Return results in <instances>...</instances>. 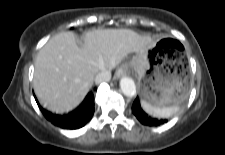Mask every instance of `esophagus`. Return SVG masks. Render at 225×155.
Here are the masks:
<instances>
[{"label":"esophagus","mask_w":225,"mask_h":155,"mask_svg":"<svg viewBox=\"0 0 225 155\" xmlns=\"http://www.w3.org/2000/svg\"><path fill=\"white\" fill-rule=\"evenodd\" d=\"M127 72H128V67L126 65H122L116 70L114 74V78L119 79L120 77L127 75Z\"/></svg>","instance_id":"obj_1"}]
</instances>
